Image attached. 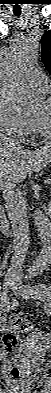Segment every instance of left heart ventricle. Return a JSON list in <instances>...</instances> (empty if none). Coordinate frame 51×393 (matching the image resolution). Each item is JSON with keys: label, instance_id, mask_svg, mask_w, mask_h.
<instances>
[{"label": "left heart ventricle", "instance_id": "b2bd125f", "mask_svg": "<svg viewBox=\"0 0 51 393\" xmlns=\"http://www.w3.org/2000/svg\"><path fill=\"white\" fill-rule=\"evenodd\" d=\"M34 119L40 120L47 129L51 128V105L43 101L39 106Z\"/></svg>", "mask_w": 51, "mask_h": 393}]
</instances>
